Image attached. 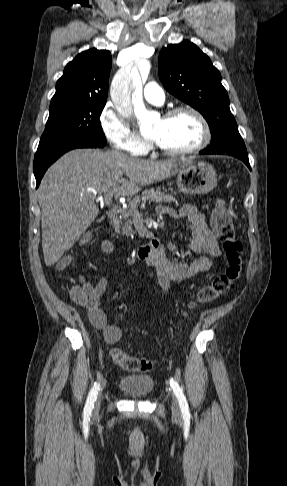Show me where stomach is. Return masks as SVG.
<instances>
[{"label":"stomach","instance_id":"stomach-1","mask_svg":"<svg viewBox=\"0 0 287 486\" xmlns=\"http://www.w3.org/2000/svg\"><path fill=\"white\" fill-rule=\"evenodd\" d=\"M176 182L180 192L187 195H202L212 191L217 186L218 179L212 165L191 158L177 173Z\"/></svg>","mask_w":287,"mask_h":486}]
</instances>
